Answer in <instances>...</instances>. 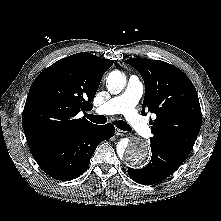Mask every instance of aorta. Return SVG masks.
Returning a JSON list of instances; mask_svg holds the SVG:
<instances>
[{
	"mask_svg": "<svg viewBox=\"0 0 221 221\" xmlns=\"http://www.w3.org/2000/svg\"><path fill=\"white\" fill-rule=\"evenodd\" d=\"M107 89L111 94H119L126 85V76L119 70L109 73ZM118 154L131 166H143L149 157L148 144L139 138L122 139L117 144Z\"/></svg>",
	"mask_w": 221,
	"mask_h": 221,
	"instance_id": "762f6f07",
	"label": "aorta"
}]
</instances>
